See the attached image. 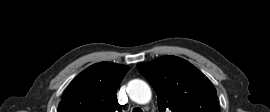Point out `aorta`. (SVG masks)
Returning <instances> with one entry per match:
<instances>
[{"label": "aorta", "mask_w": 270, "mask_h": 112, "mask_svg": "<svg viewBox=\"0 0 270 112\" xmlns=\"http://www.w3.org/2000/svg\"><path fill=\"white\" fill-rule=\"evenodd\" d=\"M127 92L131 100L138 104L148 103L152 96L149 85L140 79L131 80L128 83Z\"/></svg>", "instance_id": "obj_1"}]
</instances>
